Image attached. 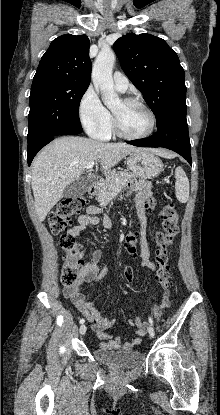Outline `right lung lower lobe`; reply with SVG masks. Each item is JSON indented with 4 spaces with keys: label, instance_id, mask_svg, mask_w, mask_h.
<instances>
[{
    "label": "right lung lower lobe",
    "instance_id": "obj_1",
    "mask_svg": "<svg viewBox=\"0 0 220 415\" xmlns=\"http://www.w3.org/2000/svg\"><path fill=\"white\" fill-rule=\"evenodd\" d=\"M82 132V129L80 131H77V133L75 134H79ZM54 139L53 136L47 137L45 139H43L42 141H40L33 149L27 151L28 152V165L30 166L34 156L37 154V152L43 148L46 144H48L50 141H52Z\"/></svg>",
    "mask_w": 220,
    "mask_h": 415
}]
</instances>
